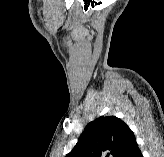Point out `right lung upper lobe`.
Instances as JSON below:
<instances>
[{
  "label": "right lung upper lobe",
  "instance_id": "1",
  "mask_svg": "<svg viewBox=\"0 0 164 157\" xmlns=\"http://www.w3.org/2000/svg\"><path fill=\"white\" fill-rule=\"evenodd\" d=\"M135 140L134 133L115 116L90 122L66 157H122Z\"/></svg>",
  "mask_w": 164,
  "mask_h": 157
}]
</instances>
